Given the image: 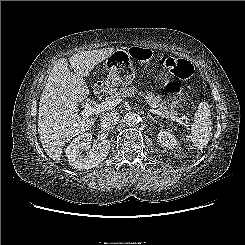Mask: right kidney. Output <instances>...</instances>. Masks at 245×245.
<instances>
[{"instance_id":"ca27d5eb","label":"right kidney","mask_w":245,"mask_h":245,"mask_svg":"<svg viewBox=\"0 0 245 245\" xmlns=\"http://www.w3.org/2000/svg\"><path fill=\"white\" fill-rule=\"evenodd\" d=\"M93 136L91 133H84L75 138L70 145L67 146L65 153L69 164L79 170H87L97 166L106 159L110 151V142L103 140L97 144L92 143ZM83 151H88L83 154Z\"/></svg>"}]
</instances>
